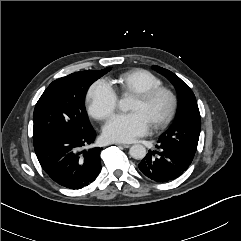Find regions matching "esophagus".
<instances>
[{"label":"esophagus","instance_id":"esophagus-1","mask_svg":"<svg viewBox=\"0 0 241 241\" xmlns=\"http://www.w3.org/2000/svg\"><path fill=\"white\" fill-rule=\"evenodd\" d=\"M117 145H119V146H121V147H124V148H129V147H130L129 144H123V143H119V144H117Z\"/></svg>","mask_w":241,"mask_h":241}]
</instances>
